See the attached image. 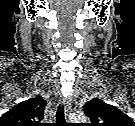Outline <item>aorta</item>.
Segmentation results:
<instances>
[{"mask_svg":"<svg viewBox=\"0 0 135 126\" xmlns=\"http://www.w3.org/2000/svg\"><path fill=\"white\" fill-rule=\"evenodd\" d=\"M72 121L83 123L86 121V116L84 114H77L72 116Z\"/></svg>","mask_w":135,"mask_h":126,"instance_id":"1","label":"aorta"}]
</instances>
